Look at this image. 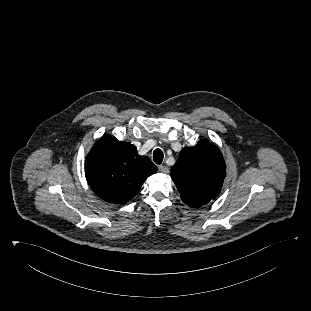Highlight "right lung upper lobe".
Instances as JSON below:
<instances>
[{
    "instance_id": "cb5924a9",
    "label": "right lung upper lobe",
    "mask_w": 311,
    "mask_h": 311,
    "mask_svg": "<svg viewBox=\"0 0 311 311\" xmlns=\"http://www.w3.org/2000/svg\"><path fill=\"white\" fill-rule=\"evenodd\" d=\"M156 171L148 157L138 155L134 145L111 135L96 142L85 162L91 189L101 199L115 204H125L133 198Z\"/></svg>"
}]
</instances>
